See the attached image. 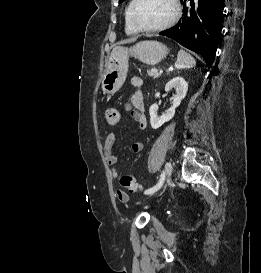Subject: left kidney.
<instances>
[{
  "label": "left kidney",
  "instance_id": "left-kidney-1",
  "mask_svg": "<svg viewBox=\"0 0 261 273\" xmlns=\"http://www.w3.org/2000/svg\"><path fill=\"white\" fill-rule=\"evenodd\" d=\"M175 89L176 94L173 95V105L161 116L157 115L158 105L153 104L149 109L150 124L153 129L160 128L164 123L170 121L175 114V109L181 104L188 90V83L182 77L171 79L165 86V91ZM156 98L160 97V93L155 94Z\"/></svg>",
  "mask_w": 261,
  "mask_h": 273
}]
</instances>
